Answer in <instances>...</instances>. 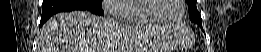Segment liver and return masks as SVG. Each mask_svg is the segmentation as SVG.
Instances as JSON below:
<instances>
[{
  "label": "liver",
  "instance_id": "6515ba94",
  "mask_svg": "<svg viewBox=\"0 0 261 52\" xmlns=\"http://www.w3.org/2000/svg\"><path fill=\"white\" fill-rule=\"evenodd\" d=\"M163 37L164 33L156 29L124 27L111 17L73 11L57 14L42 26L38 52H118L114 47L120 38L140 49H155Z\"/></svg>",
  "mask_w": 261,
  "mask_h": 52
}]
</instances>
